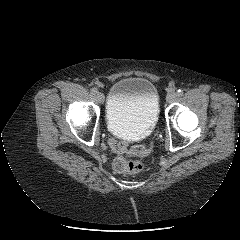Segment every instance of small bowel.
Wrapping results in <instances>:
<instances>
[{
    "mask_svg": "<svg viewBox=\"0 0 240 240\" xmlns=\"http://www.w3.org/2000/svg\"><path fill=\"white\" fill-rule=\"evenodd\" d=\"M108 145L117 153H121L126 149V144L123 141H119L116 137H111L108 140Z\"/></svg>",
    "mask_w": 240,
    "mask_h": 240,
    "instance_id": "c3829d8e",
    "label": "small bowel"
}]
</instances>
